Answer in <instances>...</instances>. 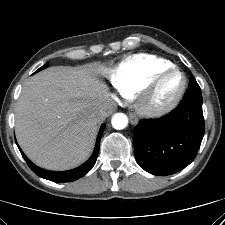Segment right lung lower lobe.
Returning <instances> with one entry per match:
<instances>
[{
    "label": "right lung lower lobe",
    "mask_w": 225,
    "mask_h": 225,
    "mask_svg": "<svg viewBox=\"0 0 225 225\" xmlns=\"http://www.w3.org/2000/svg\"><path fill=\"white\" fill-rule=\"evenodd\" d=\"M105 124H103L100 128L98 137H97V141H96V145H95V149L94 152L92 154V156L90 157V159L85 162L83 165L72 169V170H68V171H61V172H55V171H48V170H44L42 168L37 167L34 163H32L27 157L26 155L21 151L20 152L23 156V158L25 159V161L27 162L28 166L30 167V169L32 171H34L38 176L47 179V180H51L54 182H71V181H75L81 177H83L85 174H87L92 167L94 166L97 156H98V152H99V147H100V139L102 136V133L105 129Z\"/></svg>",
    "instance_id": "obj_1"
}]
</instances>
